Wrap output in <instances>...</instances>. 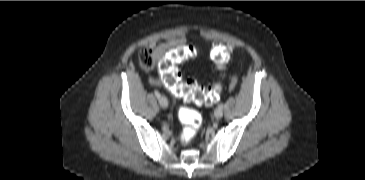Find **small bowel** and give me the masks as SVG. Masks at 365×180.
<instances>
[{"instance_id":"obj_1","label":"small bowel","mask_w":365,"mask_h":180,"mask_svg":"<svg viewBox=\"0 0 365 180\" xmlns=\"http://www.w3.org/2000/svg\"><path fill=\"white\" fill-rule=\"evenodd\" d=\"M185 42V37L180 36L178 38L169 39L166 42L160 43L154 47V55L156 58L160 59L167 53H170L173 49L179 47ZM169 55V54H168ZM167 57V56H166ZM152 84H159L157 78L152 77L150 79Z\"/></svg>"}]
</instances>
